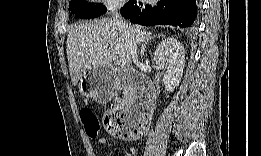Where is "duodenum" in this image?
Returning a JSON list of instances; mask_svg holds the SVG:
<instances>
[{
    "label": "duodenum",
    "mask_w": 261,
    "mask_h": 156,
    "mask_svg": "<svg viewBox=\"0 0 261 156\" xmlns=\"http://www.w3.org/2000/svg\"><path fill=\"white\" fill-rule=\"evenodd\" d=\"M113 74L120 83L130 81V75L125 69L114 68ZM137 84V90L128 96L123 107L129 112L134 123L147 124L151 119L154 108L153 87L146 79H140Z\"/></svg>",
    "instance_id": "1"
}]
</instances>
